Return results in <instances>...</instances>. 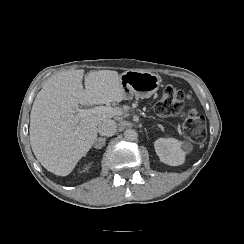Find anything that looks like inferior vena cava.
Wrapping results in <instances>:
<instances>
[{
  "label": "inferior vena cava",
  "mask_w": 244,
  "mask_h": 244,
  "mask_svg": "<svg viewBox=\"0 0 244 244\" xmlns=\"http://www.w3.org/2000/svg\"><path fill=\"white\" fill-rule=\"evenodd\" d=\"M117 123L114 120L106 119L98 125V132L101 136H112L117 131Z\"/></svg>",
  "instance_id": "602c4592"
}]
</instances>
